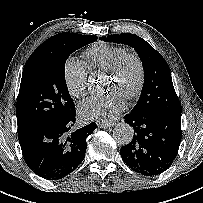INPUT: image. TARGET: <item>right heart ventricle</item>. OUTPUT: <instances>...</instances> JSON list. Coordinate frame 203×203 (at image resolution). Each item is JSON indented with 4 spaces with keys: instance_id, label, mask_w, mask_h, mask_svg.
<instances>
[{
    "instance_id": "e07e8e85",
    "label": "right heart ventricle",
    "mask_w": 203,
    "mask_h": 203,
    "mask_svg": "<svg viewBox=\"0 0 203 203\" xmlns=\"http://www.w3.org/2000/svg\"><path fill=\"white\" fill-rule=\"evenodd\" d=\"M125 52L121 46L98 43L83 52L85 64L89 69L109 70L117 58Z\"/></svg>"
}]
</instances>
